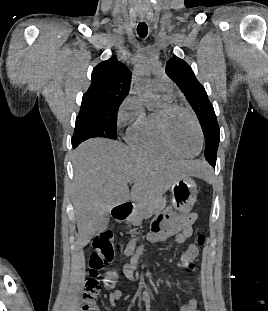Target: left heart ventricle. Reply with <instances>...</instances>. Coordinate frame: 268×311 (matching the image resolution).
Listing matches in <instances>:
<instances>
[{"instance_id":"1","label":"left heart ventricle","mask_w":268,"mask_h":311,"mask_svg":"<svg viewBox=\"0 0 268 311\" xmlns=\"http://www.w3.org/2000/svg\"><path fill=\"white\" fill-rule=\"evenodd\" d=\"M169 134L182 152L193 155L200 145V138L197 128L190 116L182 111L173 113L169 119Z\"/></svg>"}]
</instances>
